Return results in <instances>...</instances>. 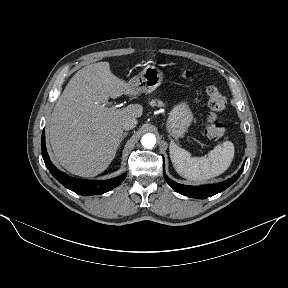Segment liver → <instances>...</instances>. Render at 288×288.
<instances>
[{"label": "liver", "mask_w": 288, "mask_h": 288, "mask_svg": "<svg viewBox=\"0 0 288 288\" xmlns=\"http://www.w3.org/2000/svg\"><path fill=\"white\" fill-rule=\"evenodd\" d=\"M123 94L134 92L108 62L87 65L68 82L53 109L48 138L56 160L72 174L93 177L106 170L116 155L123 123L141 117L138 104L102 107Z\"/></svg>", "instance_id": "1"}]
</instances>
